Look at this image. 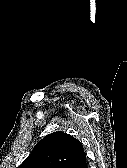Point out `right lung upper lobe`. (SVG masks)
I'll use <instances>...</instances> for the list:
<instances>
[{
    "label": "right lung upper lobe",
    "instance_id": "right-lung-upper-lobe-1",
    "mask_svg": "<svg viewBox=\"0 0 127 168\" xmlns=\"http://www.w3.org/2000/svg\"><path fill=\"white\" fill-rule=\"evenodd\" d=\"M84 162L86 153L82 143L58 131L40 140L19 168H79Z\"/></svg>",
    "mask_w": 127,
    "mask_h": 168
}]
</instances>
